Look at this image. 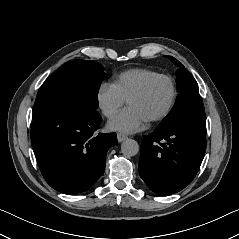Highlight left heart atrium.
Masks as SVG:
<instances>
[{"label": "left heart atrium", "mask_w": 239, "mask_h": 239, "mask_svg": "<svg viewBox=\"0 0 239 239\" xmlns=\"http://www.w3.org/2000/svg\"><path fill=\"white\" fill-rule=\"evenodd\" d=\"M146 121L136 109L128 106L110 120L108 127L114 131L133 133L142 130Z\"/></svg>", "instance_id": "39dd6f15"}]
</instances>
